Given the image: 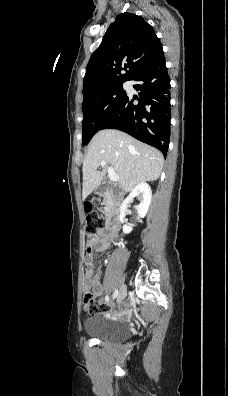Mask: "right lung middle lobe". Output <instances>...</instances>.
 Instances as JSON below:
<instances>
[{
    "label": "right lung middle lobe",
    "mask_w": 228,
    "mask_h": 396,
    "mask_svg": "<svg viewBox=\"0 0 228 396\" xmlns=\"http://www.w3.org/2000/svg\"><path fill=\"white\" fill-rule=\"evenodd\" d=\"M123 82L112 84L84 95L83 111V144L102 129L103 123L117 110L126 98Z\"/></svg>",
    "instance_id": "1"
}]
</instances>
